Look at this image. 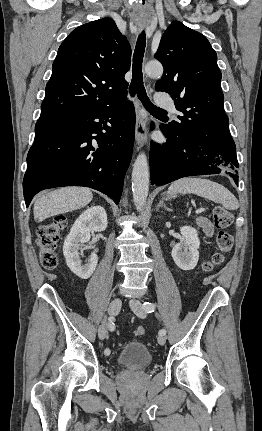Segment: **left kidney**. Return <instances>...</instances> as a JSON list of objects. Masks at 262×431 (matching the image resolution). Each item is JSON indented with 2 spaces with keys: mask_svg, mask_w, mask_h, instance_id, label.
Returning a JSON list of instances; mask_svg holds the SVG:
<instances>
[{
  "mask_svg": "<svg viewBox=\"0 0 262 431\" xmlns=\"http://www.w3.org/2000/svg\"><path fill=\"white\" fill-rule=\"evenodd\" d=\"M181 235L185 241L177 243L171 252L175 264L182 270H192L199 260L200 240L198 232L190 226L180 228Z\"/></svg>",
  "mask_w": 262,
  "mask_h": 431,
  "instance_id": "5707ae66",
  "label": "left kidney"
}]
</instances>
